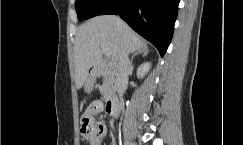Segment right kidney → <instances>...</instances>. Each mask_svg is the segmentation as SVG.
Here are the masks:
<instances>
[{"label": "right kidney", "mask_w": 243, "mask_h": 145, "mask_svg": "<svg viewBox=\"0 0 243 145\" xmlns=\"http://www.w3.org/2000/svg\"><path fill=\"white\" fill-rule=\"evenodd\" d=\"M150 68H151V64L149 62L141 64L137 69L138 78L142 79L148 73Z\"/></svg>", "instance_id": "ca27d5eb"}]
</instances>
